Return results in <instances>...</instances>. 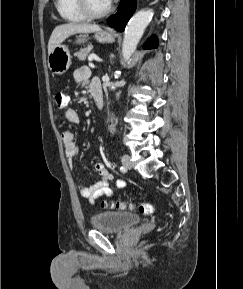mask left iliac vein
Returning a JSON list of instances; mask_svg holds the SVG:
<instances>
[{
	"instance_id": "left-iliac-vein-1",
	"label": "left iliac vein",
	"mask_w": 243,
	"mask_h": 289,
	"mask_svg": "<svg viewBox=\"0 0 243 289\" xmlns=\"http://www.w3.org/2000/svg\"><path fill=\"white\" fill-rule=\"evenodd\" d=\"M122 164L125 169H130L132 167L131 158L129 155L122 156Z\"/></svg>"
}]
</instances>
